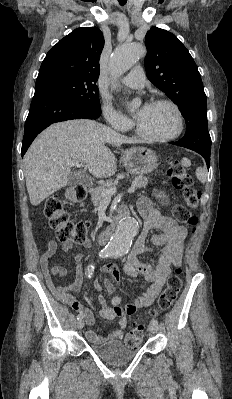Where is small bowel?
<instances>
[{
	"instance_id": "small-bowel-1",
	"label": "small bowel",
	"mask_w": 232,
	"mask_h": 399,
	"mask_svg": "<svg viewBox=\"0 0 232 399\" xmlns=\"http://www.w3.org/2000/svg\"><path fill=\"white\" fill-rule=\"evenodd\" d=\"M137 202L145 217V224L135 241L134 247L129 252L124 272L133 280H136L139 275H144L151 282V285L142 293L135 305L122 306L120 296L114 288L108 290V293L112 295L111 305H108L99 281H94V288L98 292V299L101 304L100 316L103 319H110L114 316L120 317L118 329L109 335V343L111 345H119L120 336L127 331L128 324L126 317L128 314L139 308L150 307L155 302L165 280L170 274V269L180 263L186 237V230L183 227L177 226L172 220L161 219L159 217L158 206L153 201L141 195L138 197ZM155 228L162 231L161 234L152 237V242L162 247L160 259L157 264L153 261H142L139 258L146 246L149 232ZM82 247L90 249L92 244L86 241L82 243ZM73 248L74 243H63V251L65 253L70 252ZM56 253L57 244L54 240H51L40 262L48 291L52 295L61 298L65 304L82 313L84 320L79 324L80 329L90 328L95 323L94 312L87 306L78 303L71 296L72 292L78 291L81 287L82 273L80 270L77 271L76 279L73 283L64 286H56L53 282V277L62 273V269L57 265L49 267V260L55 257ZM74 259L80 261L82 259L81 254H75ZM112 276L113 273L110 269H105L103 271V280L105 282H108ZM85 335L94 345H102L103 340L95 331L87 329Z\"/></svg>"
}]
</instances>
